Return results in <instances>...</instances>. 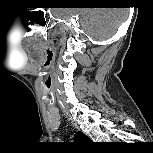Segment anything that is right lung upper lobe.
<instances>
[{
	"label": "right lung upper lobe",
	"mask_w": 153,
	"mask_h": 153,
	"mask_svg": "<svg viewBox=\"0 0 153 153\" xmlns=\"http://www.w3.org/2000/svg\"><path fill=\"white\" fill-rule=\"evenodd\" d=\"M75 141L78 142H90L91 140L89 137H87L85 134H83L81 131H78L75 135Z\"/></svg>",
	"instance_id": "right-lung-upper-lobe-1"
}]
</instances>
